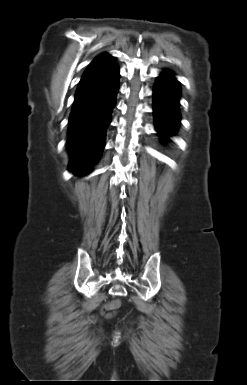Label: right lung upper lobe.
<instances>
[{
  "instance_id": "obj_1",
  "label": "right lung upper lobe",
  "mask_w": 247,
  "mask_h": 385,
  "mask_svg": "<svg viewBox=\"0 0 247 385\" xmlns=\"http://www.w3.org/2000/svg\"><path fill=\"white\" fill-rule=\"evenodd\" d=\"M112 62H114V57H112L106 53H103V54L99 55L98 57H96L91 62V64L89 65V67L87 68V70L85 71L84 74L90 73V72H92L98 68H101L103 66H106Z\"/></svg>"
}]
</instances>
